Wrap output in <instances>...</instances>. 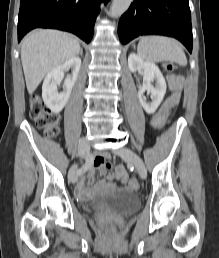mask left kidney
<instances>
[{"label": "left kidney", "instance_id": "left-kidney-1", "mask_svg": "<svg viewBox=\"0 0 219 258\" xmlns=\"http://www.w3.org/2000/svg\"><path fill=\"white\" fill-rule=\"evenodd\" d=\"M128 66L131 72L138 70L143 71V85L139 87L138 97L139 101L148 114H153L160 103L162 102L166 93V81L158 68L154 63L144 61L140 56L135 53H131L128 57ZM155 81V86L152 82ZM145 91L151 92L152 101L147 102L143 96Z\"/></svg>", "mask_w": 219, "mask_h": 258}]
</instances>
